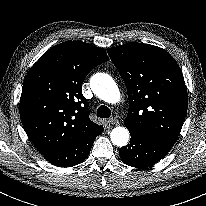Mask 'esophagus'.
Segmentation results:
<instances>
[{
	"instance_id": "34e87169",
	"label": "esophagus",
	"mask_w": 206,
	"mask_h": 206,
	"mask_svg": "<svg viewBox=\"0 0 206 206\" xmlns=\"http://www.w3.org/2000/svg\"><path fill=\"white\" fill-rule=\"evenodd\" d=\"M109 123L112 125H118L119 121L117 118H111V119H109Z\"/></svg>"
}]
</instances>
